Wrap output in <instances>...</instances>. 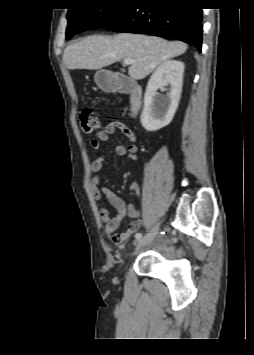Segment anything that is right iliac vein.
<instances>
[{"mask_svg": "<svg viewBox=\"0 0 254 355\" xmlns=\"http://www.w3.org/2000/svg\"><path fill=\"white\" fill-rule=\"evenodd\" d=\"M158 227L159 225L157 224L151 232H149L145 237H143L137 242L136 250H140L142 247H144L147 243H149L153 239L156 231L158 230Z\"/></svg>", "mask_w": 254, "mask_h": 355, "instance_id": "obj_1", "label": "right iliac vein"}]
</instances>
